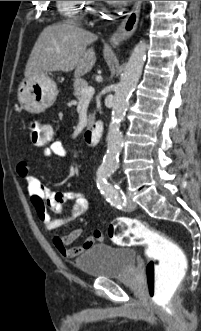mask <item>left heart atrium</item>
<instances>
[{"mask_svg": "<svg viewBox=\"0 0 201 331\" xmlns=\"http://www.w3.org/2000/svg\"><path fill=\"white\" fill-rule=\"evenodd\" d=\"M108 2L115 4V5H125L131 1H108Z\"/></svg>", "mask_w": 201, "mask_h": 331, "instance_id": "left-heart-atrium-1", "label": "left heart atrium"}]
</instances>
